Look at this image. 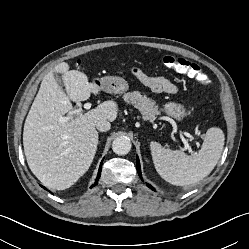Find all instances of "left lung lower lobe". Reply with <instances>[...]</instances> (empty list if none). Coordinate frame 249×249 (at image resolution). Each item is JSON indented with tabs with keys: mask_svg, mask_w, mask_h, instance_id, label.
<instances>
[{
	"mask_svg": "<svg viewBox=\"0 0 249 249\" xmlns=\"http://www.w3.org/2000/svg\"><path fill=\"white\" fill-rule=\"evenodd\" d=\"M136 160H137V171H138L139 175L141 176V169H140L139 158L137 157ZM148 187L151 188V189H153V187H151L150 185H148Z\"/></svg>",
	"mask_w": 249,
	"mask_h": 249,
	"instance_id": "left-lung-lower-lobe-1",
	"label": "left lung lower lobe"
}]
</instances>
